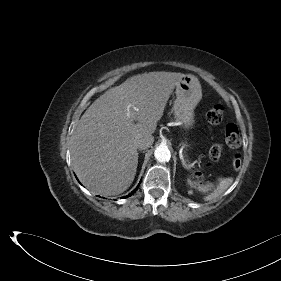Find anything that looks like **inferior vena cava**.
I'll return each instance as SVG.
<instances>
[{
    "mask_svg": "<svg viewBox=\"0 0 281 281\" xmlns=\"http://www.w3.org/2000/svg\"><path fill=\"white\" fill-rule=\"evenodd\" d=\"M153 142H154V138L152 135L142 137L137 140V147L138 149L144 150L149 148Z\"/></svg>",
    "mask_w": 281,
    "mask_h": 281,
    "instance_id": "obj_1",
    "label": "inferior vena cava"
}]
</instances>
